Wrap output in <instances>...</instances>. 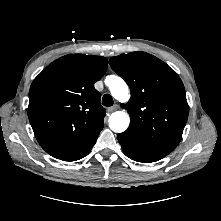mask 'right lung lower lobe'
Wrapping results in <instances>:
<instances>
[{"instance_id":"1","label":"right lung lower lobe","mask_w":221,"mask_h":221,"mask_svg":"<svg viewBox=\"0 0 221 221\" xmlns=\"http://www.w3.org/2000/svg\"><path fill=\"white\" fill-rule=\"evenodd\" d=\"M101 130H99L94 135V137L83 148L79 149L78 151H76V152H74V153H72L68 156H65V157L61 158V160L76 161V160H79V159L85 157L91 151V149H92L93 145L95 144Z\"/></svg>"}]
</instances>
